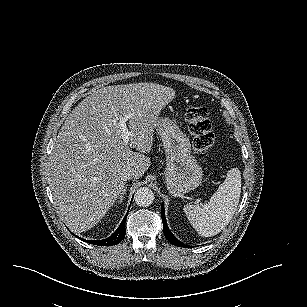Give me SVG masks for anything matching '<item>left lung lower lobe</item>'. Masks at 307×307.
<instances>
[{"label": "left lung lower lobe", "mask_w": 307, "mask_h": 307, "mask_svg": "<svg viewBox=\"0 0 307 307\" xmlns=\"http://www.w3.org/2000/svg\"><path fill=\"white\" fill-rule=\"evenodd\" d=\"M161 217H162V222H163V230H164V235L166 239L173 245L179 246V247H186L189 248V246L185 245L184 243L180 242L177 240V238L171 233L167 226L166 218H165V212H164V205L162 204L161 208Z\"/></svg>", "instance_id": "obj_1"}]
</instances>
